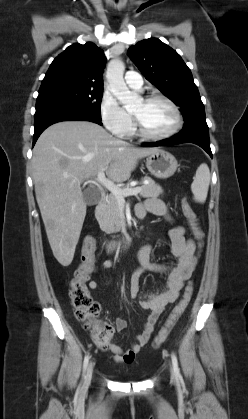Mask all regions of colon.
<instances>
[{
    "label": "colon",
    "instance_id": "colon-1",
    "mask_svg": "<svg viewBox=\"0 0 248 419\" xmlns=\"http://www.w3.org/2000/svg\"><path fill=\"white\" fill-rule=\"evenodd\" d=\"M182 212L187 219L194 237L201 241L203 234L198 224V219L192 207L187 201H183ZM96 253V241L93 236H86L82 246L81 263L75 270L69 283V296L75 309L76 318L82 322L83 327L90 331L92 340L96 345H105L113 336V328L109 323L98 321L99 304L92 300L86 283L94 265ZM193 287L188 284L182 298L173 309L166 324L156 335L153 347H159L167 338L168 334L184 313L191 299Z\"/></svg>",
    "mask_w": 248,
    "mask_h": 419
}]
</instances>
